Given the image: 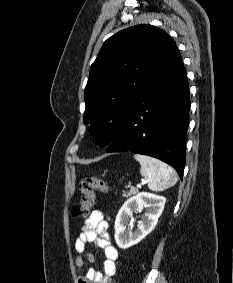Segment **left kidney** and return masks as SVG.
Segmentation results:
<instances>
[{"mask_svg": "<svg viewBox=\"0 0 233 283\" xmlns=\"http://www.w3.org/2000/svg\"><path fill=\"white\" fill-rule=\"evenodd\" d=\"M166 199L163 196L141 192L137 196L127 200L119 210L115 220V241L121 249H127L145 238L157 225L158 218L162 214ZM148 207L145 218L132 232L133 212H139ZM131 218V221H130ZM128 227V231L126 228Z\"/></svg>", "mask_w": 233, "mask_h": 283, "instance_id": "5707ae66", "label": "left kidney"}]
</instances>
